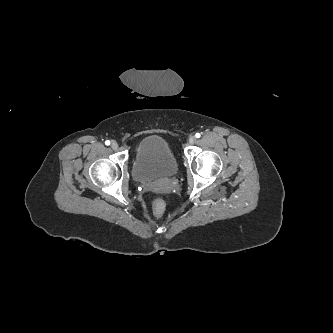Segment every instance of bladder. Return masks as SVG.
<instances>
[{"mask_svg": "<svg viewBox=\"0 0 333 333\" xmlns=\"http://www.w3.org/2000/svg\"><path fill=\"white\" fill-rule=\"evenodd\" d=\"M177 159L168 142L160 135L143 138L136 147L132 176L141 183L176 175Z\"/></svg>", "mask_w": 333, "mask_h": 333, "instance_id": "obj_1", "label": "bladder"}]
</instances>
